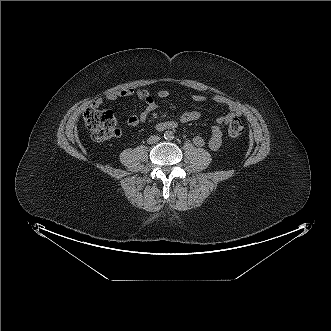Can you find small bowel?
Segmentation results:
<instances>
[{"label": "small bowel", "mask_w": 331, "mask_h": 331, "mask_svg": "<svg viewBox=\"0 0 331 331\" xmlns=\"http://www.w3.org/2000/svg\"><path fill=\"white\" fill-rule=\"evenodd\" d=\"M170 92L168 90H160L157 93L159 98L169 97ZM135 96L145 104L144 110L139 115H131L127 118V124L131 128H136L140 124L144 123L148 116L157 108L156 101L152 94L140 88H127L122 90L111 91L106 94V99L109 101L117 100L122 97ZM193 101L205 102L208 99L213 102L224 105L228 108L229 112L216 120V124L211 127V135L208 140H205L202 136H195L193 138V144L197 147H203L206 144L211 150H218L222 144L223 130L224 128L235 118L242 115V107L231 100L230 98L223 95H213L208 97L202 94H194L191 96ZM103 104V99H97L92 103L91 106L99 108ZM200 118V113L195 110H188L184 112L179 119V123L185 124L197 121ZM169 122L174 121H163L157 125L158 130H165V125ZM176 123V122H174ZM177 124V123H176Z\"/></svg>", "instance_id": "1"}]
</instances>
